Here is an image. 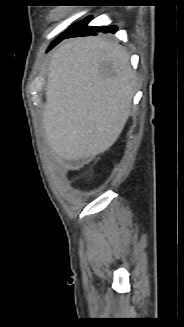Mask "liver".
<instances>
[{
	"mask_svg": "<svg viewBox=\"0 0 184 327\" xmlns=\"http://www.w3.org/2000/svg\"><path fill=\"white\" fill-rule=\"evenodd\" d=\"M136 86L121 46L99 37L60 45L49 62L42 121L52 151L78 161L109 149L127 122Z\"/></svg>",
	"mask_w": 184,
	"mask_h": 327,
	"instance_id": "6515ba94",
	"label": "liver"
}]
</instances>
